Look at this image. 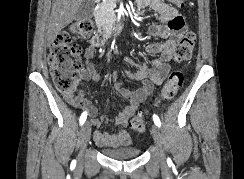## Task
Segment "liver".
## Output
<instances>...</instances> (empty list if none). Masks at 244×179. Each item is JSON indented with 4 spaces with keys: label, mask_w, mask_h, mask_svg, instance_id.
<instances>
[{
    "label": "liver",
    "mask_w": 244,
    "mask_h": 179,
    "mask_svg": "<svg viewBox=\"0 0 244 179\" xmlns=\"http://www.w3.org/2000/svg\"><path fill=\"white\" fill-rule=\"evenodd\" d=\"M82 0H53L48 22L47 42L52 44L59 32L75 18Z\"/></svg>",
    "instance_id": "obj_1"
}]
</instances>
